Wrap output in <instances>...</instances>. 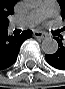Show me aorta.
Instances as JSON below:
<instances>
[{"instance_id":"1","label":"aorta","mask_w":65,"mask_h":89,"mask_svg":"<svg viewBox=\"0 0 65 89\" xmlns=\"http://www.w3.org/2000/svg\"><path fill=\"white\" fill-rule=\"evenodd\" d=\"M27 5L30 8H36L39 6L38 0H30L28 1ZM41 48L45 54L52 55L55 54L58 50V43L52 37H47L42 41Z\"/></svg>"}]
</instances>
